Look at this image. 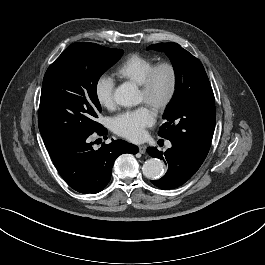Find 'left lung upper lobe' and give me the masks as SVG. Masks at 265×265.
<instances>
[{
    "label": "left lung upper lobe",
    "mask_w": 265,
    "mask_h": 265,
    "mask_svg": "<svg viewBox=\"0 0 265 265\" xmlns=\"http://www.w3.org/2000/svg\"><path fill=\"white\" fill-rule=\"evenodd\" d=\"M165 52L175 71V92L158 135L177 143L198 159L206 158L216 121L215 99L202 63L177 43L150 45Z\"/></svg>",
    "instance_id": "5c2ea615"
}]
</instances>
